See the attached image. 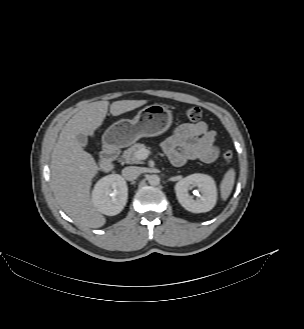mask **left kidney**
Masks as SVG:
<instances>
[{"label": "left kidney", "instance_id": "1", "mask_svg": "<svg viewBox=\"0 0 304 329\" xmlns=\"http://www.w3.org/2000/svg\"><path fill=\"white\" fill-rule=\"evenodd\" d=\"M193 187H198L201 192V196L196 199L189 194ZM175 192L182 207L193 213L208 212L217 201L215 181L205 174L195 173L181 179L175 185Z\"/></svg>", "mask_w": 304, "mask_h": 329}]
</instances>
